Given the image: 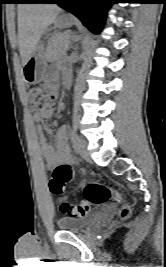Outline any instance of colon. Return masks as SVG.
Returning <instances> with one entry per match:
<instances>
[{
	"label": "colon",
	"instance_id": "obj_1",
	"mask_svg": "<svg viewBox=\"0 0 166 267\" xmlns=\"http://www.w3.org/2000/svg\"><path fill=\"white\" fill-rule=\"evenodd\" d=\"M54 93L46 92L41 88H32L28 92V100L34 113H40L52 107ZM72 168L67 166H57L53 169V177L50 180V191L55 195H61L65 189V185L72 179ZM85 200L71 204L63 198L58 200V206L64 213L75 217L87 215L92 205L101 204L109 200H115L123 203L119 209L120 219H126L130 212L131 206L124 202L121 192L108 187L100 182H89L83 188Z\"/></svg>",
	"mask_w": 166,
	"mask_h": 267
}]
</instances>
